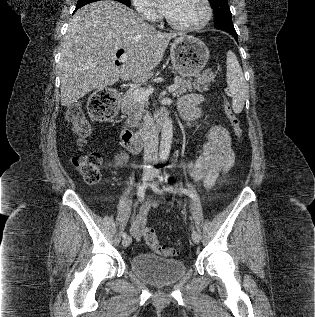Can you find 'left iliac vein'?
Segmentation results:
<instances>
[{
	"label": "left iliac vein",
	"instance_id": "4c4485c4",
	"mask_svg": "<svg viewBox=\"0 0 315 317\" xmlns=\"http://www.w3.org/2000/svg\"><path fill=\"white\" fill-rule=\"evenodd\" d=\"M155 185H157V183H156V182H153V184H152V189H153L155 192H157V191L155 190V188H154ZM161 192H162V191H161ZM161 192H160V193H161ZM191 237H192V240H193L194 243L198 244V243L200 242V235H199V233H198L196 230H194V229L192 230Z\"/></svg>",
	"mask_w": 315,
	"mask_h": 317
}]
</instances>
